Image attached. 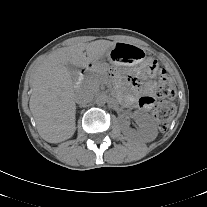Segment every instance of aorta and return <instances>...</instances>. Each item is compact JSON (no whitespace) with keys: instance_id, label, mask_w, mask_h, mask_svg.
Here are the masks:
<instances>
[{"instance_id":"1","label":"aorta","mask_w":207,"mask_h":207,"mask_svg":"<svg viewBox=\"0 0 207 207\" xmlns=\"http://www.w3.org/2000/svg\"><path fill=\"white\" fill-rule=\"evenodd\" d=\"M108 101V97L105 94H100L96 97V104L99 106H103L106 104V102Z\"/></svg>"}]
</instances>
